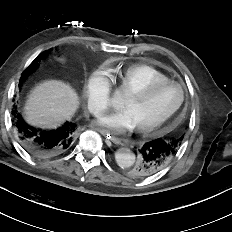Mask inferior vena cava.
Returning a JSON list of instances; mask_svg holds the SVG:
<instances>
[{
	"mask_svg": "<svg viewBox=\"0 0 232 232\" xmlns=\"http://www.w3.org/2000/svg\"><path fill=\"white\" fill-rule=\"evenodd\" d=\"M94 114H98L99 113V110L96 108L93 110Z\"/></svg>",
	"mask_w": 232,
	"mask_h": 232,
	"instance_id": "602c4592",
	"label": "inferior vena cava"
}]
</instances>
